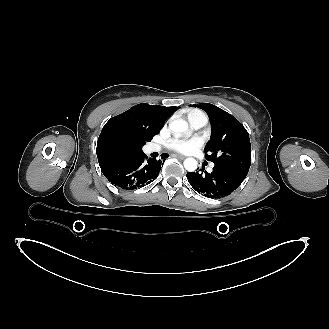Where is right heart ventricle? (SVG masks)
Instances as JSON below:
<instances>
[{
    "mask_svg": "<svg viewBox=\"0 0 329 329\" xmlns=\"http://www.w3.org/2000/svg\"><path fill=\"white\" fill-rule=\"evenodd\" d=\"M197 115H204V113L199 110H193V111L189 112L188 119L190 120L191 118H193L194 116H197Z\"/></svg>",
    "mask_w": 329,
    "mask_h": 329,
    "instance_id": "1",
    "label": "right heart ventricle"
}]
</instances>
